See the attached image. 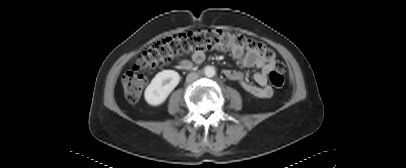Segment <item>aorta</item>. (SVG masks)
Listing matches in <instances>:
<instances>
[{"label":"aorta","mask_w":406,"mask_h":168,"mask_svg":"<svg viewBox=\"0 0 406 168\" xmlns=\"http://www.w3.org/2000/svg\"><path fill=\"white\" fill-rule=\"evenodd\" d=\"M204 74L207 77H213L215 75V70H214V68L212 66H206L204 68Z\"/></svg>","instance_id":"1"}]
</instances>
